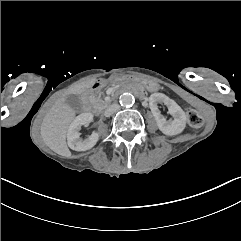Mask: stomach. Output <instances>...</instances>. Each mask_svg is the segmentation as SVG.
<instances>
[{"mask_svg": "<svg viewBox=\"0 0 241 241\" xmlns=\"http://www.w3.org/2000/svg\"><path fill=\"white\" fill-rule=\"evenodd\" d=\"M113 80L119 83H128V84L139 83L150 92L157 91L160 88L159 84L155 81L138 78L134 76L115 74L113 75Z\"/></svg>", "mask_w": 241, "mask_h": 241, "instance_id": "0dacf381", "label": "stomach"}]
</instances>
